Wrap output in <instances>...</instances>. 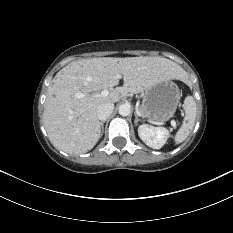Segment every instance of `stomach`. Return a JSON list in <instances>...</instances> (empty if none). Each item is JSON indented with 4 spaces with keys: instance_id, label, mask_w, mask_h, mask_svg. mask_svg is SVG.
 I'll list each match as a JSON object with an SVG mask.
<instances>
[{
    "instance_id": "1",
    "label": "stomach",
    "mask_w": 233,
    "mask_h": 233,
    "mask_svg": "<svg viewBox=\"0 0 233 233\" xmlns=\"http://www.w3.org/2000/svg\"><path fill=\"white\" fill-rule=\"evenodd\" d=\"M180 100L178 86L171 80L157 83L145 90L142 114L153 121L165 122L173 117Z\"/></svg>"
}]
</instances>
